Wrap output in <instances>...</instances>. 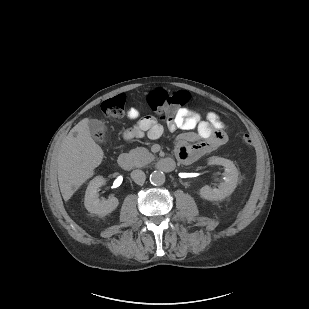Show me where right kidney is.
Wrapping results in <instances>:
<instances>
[{"label":"right kidney","mask_w":309,"mask_h":309,"mask_svg":"<svg viewBox=\"0 0 309 309\" xmlns=\"http://www.w3.org/2000/svg\"><path fill=\"white\" fill-rule=\"evenodd\" d=\"M105 183L102 176H96L92 179L86 189L84 205L85 208L93 214L99 216H106L114 211L119 201L116 197H109V199H100L98 196V188Z\"/></svg>","instance_id":"right-kidney-1"}]
</instances>
